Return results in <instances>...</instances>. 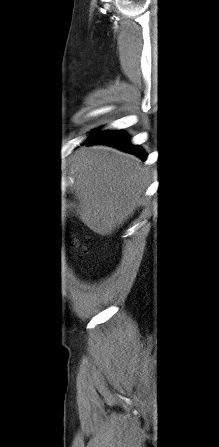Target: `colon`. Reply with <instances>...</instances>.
Instances as JSON below:
<instances>
[{"instance_id":"obj_1","label":"colon","mask_w":219,"mask_h":447,"mask_svg":"<svg viewBox=\"0 0 219 447\" xmlns=\"http://www.w3.org/2000/svg\"><path fill=\"white\" fill-rule=\"evenodd\" d=\"M72 245L77 247L79 246V242L76 239H74L72 240Z\"/></svg>"}]
</instances>
